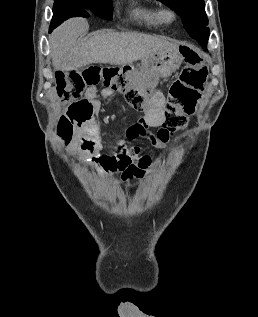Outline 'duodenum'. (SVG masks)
<instances>
[{"instance_id":"obj_1","label":"duodenum","mask_w":258,"mask_h":317,"mask_svg":"<svg viewBox=\"0 0 258 317\" xmlns=\"http://www.w3.org/2000/svg\"><path fill=\"white\" fill-rule=\"evenodd\" d=\"M116 92V88L110 87V86H105V88L102 91V96L104 98H108L112 96ZM89 97L93 100L97 101L98 98V92L96 90H93L90 92Z\"/></svg>"}]
</instances>
